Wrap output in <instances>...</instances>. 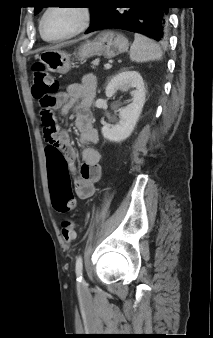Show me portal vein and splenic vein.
Returning a JSON list of instances; mask_svg holds the SVG:
<instances>
[{"mask_svg": "<svg viewBox=\"0 0 213 338\" xmlns=\"http://www.w3.org/2000/svg\"><path fill=\"white\" fill-rule=\"evenodd\" d=\"M104 67H105V69H110L112 66H111L110 63H106V64L104 65Z\"/></svg>", "mask_w": 213, "mask_h": 338, "instance_id": "1", "label": "portal vein and splenic vein"}]
</instances>
